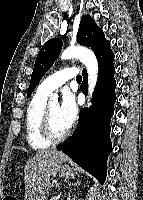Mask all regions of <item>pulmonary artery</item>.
Instances as JSON below:
<instances>
[{
    "instance_id": "1",
    "label": "pulmonary artery",
    "mask_w": 143,
    "mask_h": 200,
    "mask_svg": "<svg viewBox=\"0 0 143 200\" xmlns=\"http://www.w3.org/2000/svg\"><path fill=\"white\" fill-rule=\"evenodd\" d=\"M77 75H78V70L76 68L63 69L44 79L40 83L38 89L49 95L54 90L62 86L67 80L75 78L77 77Z\"/></svg>"
}]
</instances>
